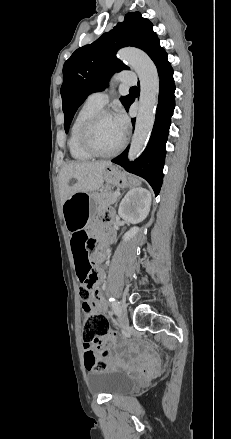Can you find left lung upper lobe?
<instances>
[{
	"instance_id": "left-lung-upper-lobe-1",
	"label": "left lung upper lobe",
	"mask_w": 231,
	"mask_h": 439,
	"mask_svg": "<svg viewBox=\"0 0 231 439\" xmlns=\"http://www.w3.org/2000/svg\"><path fill=\"white\" fill-rule=\"evenodd\" d=\"M125 46L142 49L152 60L163 50L152 23L139 12H130L113 30L77 49L64 63L61 97L66 133L75 112L87 96L104 90L115 72L129 69L116 58L117 50ZM130 98L129 95L121 98L125 107Z\"/></svg>"
}]
</instances>
